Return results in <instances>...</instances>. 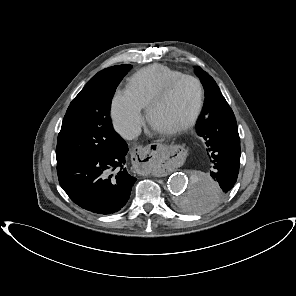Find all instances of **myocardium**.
Listing matches in <instances>:
<instances>
[{
  "label": "myocardium",
  "instance_id": "1",
  "mask_svg": "<svg viewBox=\"0 0 296 296\" xmlns=\"http://www.w3.org/2000/svg\"><path fill=\"white\" fill-rule=\"evenodd\" d=\"M185 80H189L195 83V85L197 86L198 89V100H197V104L195 106V109L193 110L192 114L189 116V118L187 120H185L183 123L168 129V130H163L161 131L162 133L166 134V135H175L178 133H181L187 129H189L190 127H192L196 121L198 120L203 106H204V101H205V90H204V86L202 84V82L191 75H181L179 77L174 78L173 80H171L147 105L146 107V114H147V119L149 121V123L151 125H153L152 122V113L153 110L160 105L161 103H163L168 96L170 95V93L173 91V89L182 81Z\"/></svg>",
  "mask_w": 296,
  "mask_h": 296
}]
</instances>
